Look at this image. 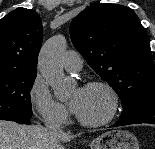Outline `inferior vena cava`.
Listing matches in <instances>:
<instances>
[{
  "mask_svg": "<svg viewBox=\"0 0 155 149\" xmlns=\"http://www.w3.org/2000/svg\"><path fill=\"white\" fill-rule=\"evenodd\" d=\"M45 127L50 133H60L62 132L61 125L58 121L52 118L46 117L44 120Z\"/></svg>",
  "mask_w": 155,
  "mask_h": 149,
  "instance_id": "602c4592",
  "label": "inferior vena cava"
}]
</instances>
